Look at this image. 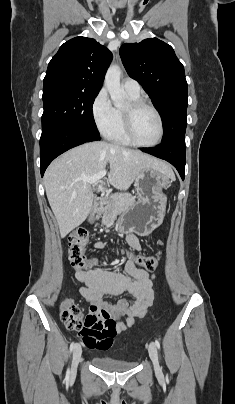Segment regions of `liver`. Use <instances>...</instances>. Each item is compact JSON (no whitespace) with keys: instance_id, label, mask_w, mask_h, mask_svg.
Here are the masks:
<instances>
[{"instance_id":"6515ba94","label":"liver","mask_w":235,"mask_h":404,"mask_svg":"<svg viewBox=\"0 0 235 404\" xmlns=\"http://www.w3.org/2000/svg\"><path fill=\"white\" fill-rule=\"evenodd\" d=\"M109 168L108 181L126 190L142 169L152 167L170 178V165L136 150L104 141L77 146L54 160L44 175V186L50 207L58 222L61 236H66L88 217L93 203L95 184L83 181Z\"/></svg>"}]
</instances>
